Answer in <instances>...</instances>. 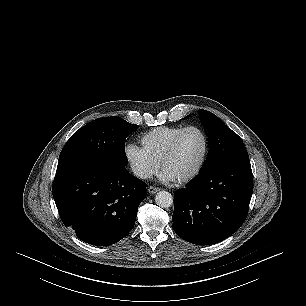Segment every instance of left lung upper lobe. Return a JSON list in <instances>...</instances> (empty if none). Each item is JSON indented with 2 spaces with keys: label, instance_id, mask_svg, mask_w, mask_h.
I'll return each instance as SVG.
<instances>
[{
  "label": "left lung upper lobe",
  "instance_id": "1",
  "mask_svg": "<svg viewBox=\"0 0 306 306\" xmlns=\"http://www.w3.org/2000/svg\"><path fill=\"white\" fill-rule=\"evenodd\" d=\"M199 116L205 128L209 145L208 156L200 172L221 163L249 159L242 139L216 115L201 109Z\"/></svg>",
  "mask_w": 306,
  "mask_h": 306
}]
</instances>
